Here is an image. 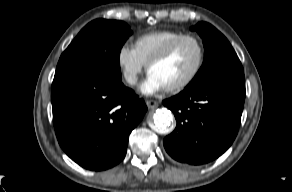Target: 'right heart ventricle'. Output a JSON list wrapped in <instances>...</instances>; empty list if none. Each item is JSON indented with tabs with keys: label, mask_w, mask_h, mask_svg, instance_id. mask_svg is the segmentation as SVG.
Listing matches in <instances>:
<instances>
[{
	"label": "right heart ventricle",
	"mask_w": 292,
	"mask_h": 192,
	"mask_svg": "<svg viewBox=\"0 0 292 192\" xmlns=\"http://www.w3.org/2000/svg\"><path fill=\"white\" fill-rule=\"evenodd\" d=\"M184 35L183 32L163 29L144 33L134 43L138 55L147 64L155 55L163 51L172 41Z\"/></svg>",
	"instance_id": "1"
}]
</instances>
